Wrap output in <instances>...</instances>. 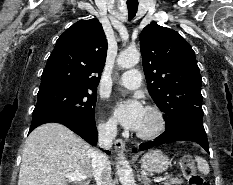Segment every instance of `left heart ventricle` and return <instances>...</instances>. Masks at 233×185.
I'll list each match as a JSON object with an SVG mask.
<instances>
[{
	"label": "left heart ventricle",
	"instance_id": "obj_1",
	"mask_svg": "<svg viewBox=\"0 0 233 185\" xmlns=\"http://www.w3.org/2000/svg\"><path fill=\"white\" fill-rule=\"evenodd\" d=\"M156 123H157L156 117L151 112L145 110L142 123L137 131L138 132L151 131L156 126Z\"/></svg>",
	"mask_w": 233,
	"mask_h": 185
}]
</instances>
